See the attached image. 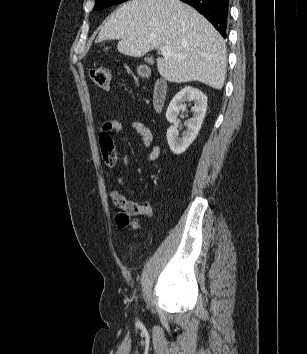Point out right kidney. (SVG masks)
<instances>
[{
    "label": "right kidney",
    "instance_id": "right-kidney-1",
    "mask_svg": "<svg viewBox=\"0 0 307 354\" xmlns=\"http://www.w3.org/2000/svg\"><path fill=\"white\" fill-rule=\"evenodd\" d=\"M193 102L191 108L192 118L187 124V129L179 136L176 118L180 112L186 111V103ZM207 109V97L197 88L190 86L181 89L171 100L167 111L166 119L172 123L167 130V141L174 154H182L197 137Z\"/></svg>",
    "mask_w": 307,
    "mask_h": 354
}]
</instances>
